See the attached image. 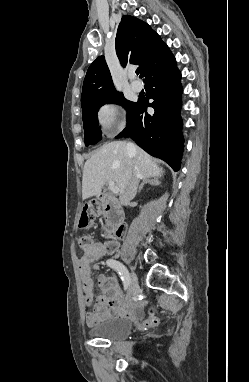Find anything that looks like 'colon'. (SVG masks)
Segmentation results:
<instances>
[{"label": "colon", "mask_w": 249, "mask_h": 382, "mask_svg": "<svg viewBox=\"0 0 249 382\" xmlns=\"http://www.w3.org/2000/svg\"><path fill=\"white\" fill-rule=\"evenodd\" d=\"M100 213V207L96 203H89L86 204L81 212L79 225L81 228H88L91 227L97 215ZM121 230H118L117 232L114 231H107L105 234L106 243H110L113 241L114 237L116 235L120 236ZM93 244V240L89 235H82L79 238V245L83 250H86L90 248V246ZM158 322L157 317L154 315L153 310L150 311V316L147 319L146 323L143 324L144 328H147L148 325H156Z\"/></svg>", "instance_id": "5ec220e1"}]
</instances>
